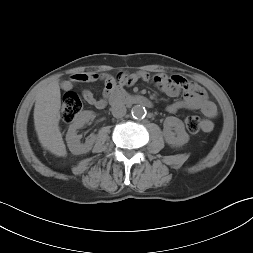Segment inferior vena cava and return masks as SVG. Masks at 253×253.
Here are the masks:
<instances>
[{
	"instance_id": "inferior-vena-cava-1",
	"label": "inferior vena cava",
	"mask_w": 253,
	"mask_h": 253,
	"mask_svg": "<svg viewBox=\"0 0 253 253\" xmlns=\"http://www.w3.org/2000/svg\"><path fill=\"white\" fill-rule=\"evenodd\" d=\"M112 115L116 118H121L126 114V107L122 104H115L111 108Z\"/></svg>"
}]
</instances>
